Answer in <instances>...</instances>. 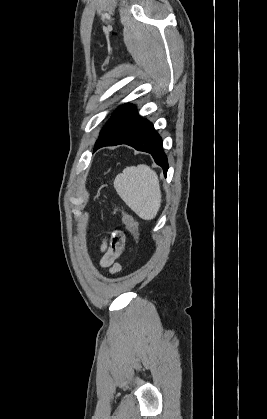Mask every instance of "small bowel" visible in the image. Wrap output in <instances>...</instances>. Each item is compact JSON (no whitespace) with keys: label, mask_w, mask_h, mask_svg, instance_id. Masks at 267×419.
I'll list each match as a JSON object with an SVG mask.
<instances>
[{"label":"small bowel","mask_w":267,"mask_h":419,"mask_svg":"<svg viewBox=\"0 0 267 419\" xmlns=\"http://www.w3.org/2000/svg\"><path fill=\"white\" fill-rule=\"evenodd\" d=\"M125 247L124 235L116 231L111 235L109 241H104L100 247L101 258L99 264L102 268H107L110 274H115L121 270L118 259L123 255Z\"/></svg>","instance_id":"small-bowel-1"}]
</instances>
